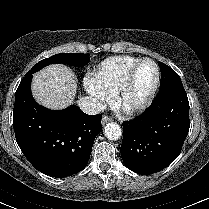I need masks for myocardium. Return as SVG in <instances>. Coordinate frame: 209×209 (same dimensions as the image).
Here are the masks:
<instances>
[{"instance_id":"f54148a6","label":"myocardium","mask_w":209,"mask_h":209,"mask_svg":"<svg viewBox=\"0 0 209 209\" xmlns=\"http://www.w3.org/2000/svg\"><path fill=\"white\" fill-rule=\"evenodd\" d=\"M144 62H150L151 64H153L154 68H155V81H154V85L149 93V95L147 96V98L140 104L135 105V106H127L125 104V95L126 92L131 84L132 81V77L133 74L136 70V68L144 63ZM160 86V69L158 64L151 58H141L139 60H137L136 62H134L127 70L118 90L116 93V101H117V106L126 114L128 115H136L139 114L143 111H145L146 109H148L151 104L153 103L158 89Z\"/></svg>"}]
</instances>
